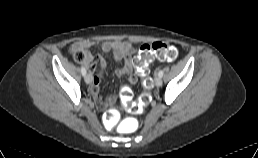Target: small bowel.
I'll return each instance as SVG.
<instances>
[{
	"label": "small bowel",
	"instance_id": "1",
	"mask_svg": "<svg viewBox=\"0 0 258 158\" xmlns=\"http://www.w3.org/2000/svg\"><path fill=\"white\" fill-rule=\"evenodd\" d=\"M99 46L103 52L112 53L115 60L125 59L124 66L115 71L117 76H128L129 82L134 84L138 80V76L134 71L133 56L136 52L134 45L127 41H101L94 42L90 40L79 41L74 44V49H82L87 53V59L84 64L90 69L91 73V89L90 93L97 103L103 109L110 106L113 98L104 100L99 93V85L102 80L103 69L106 66V60L98 57L97 61H93V57L87 52V49L93 46ZM124 89V88H123ZM122 89V90H123ZM121 90V91H122Z\"/></svg>",
	"mask_w": 258,
	"mask_h": 158
}]
</instances>
